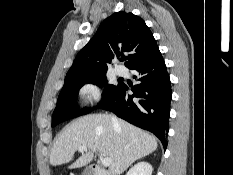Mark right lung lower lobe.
I'll return each mask as SVG.
<instances>
[{
	"label": "right lung lower lobe",
	"instance_id": "obj_1",
	"mask_svg": "<svg viewBox=\"0 0 233 175\" xmlns=\"http://www.w3.org/2000/svg\"><path fill=\"white\" fill-rule=\"evenodd\" d=\"M130 69L139 73L134 78L141 82L132 88L133 94L129 95L128 86L122 83L118 91L101 107L152 132L166 149L172 90L164 59L159 51Z\"/></svg>",
	"mask_w": 233,
	"mask_h": 175
}]
</instances>
